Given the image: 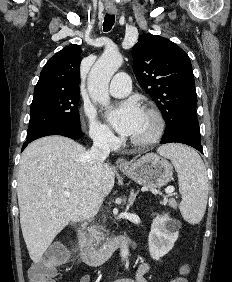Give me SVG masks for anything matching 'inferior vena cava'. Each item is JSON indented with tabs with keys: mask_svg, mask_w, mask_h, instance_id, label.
Wrapping results in <instances>:
<instances>
[{
	"mask_svg": "<svg viewBox=\"0 0 232 282\" xmlns=\"http://www.w3.org/2000/svg\"><path fill=\"white\" fill-rule=\"evenodd\" d=\"M112 139L110 134L100 132L94 137V142L91 150L88 152L87 160L90 167L91 177L96 190V204H102L103 199L101 193V171L105 159L109 156Z\"/></svg>",
	"mask_w": 232,
	"mask_h": 282,
	"instance_id": "inferior-vena-cava-1",
	"label": "inferior vena cava"
}]
</instances>
